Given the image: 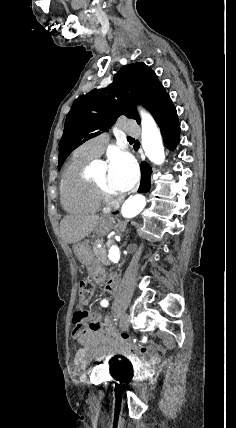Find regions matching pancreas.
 <instances>
[{"label":"pancreas","instance_id":"1","mask_svg":"<svg viewBox=\"0 0 236 428\" xmlns=\"http://www.w3.org/2000/svg\"><path fill=\"white\" fill-rule=\"evenodd\" d=\"M98 244H100V240L93 244V252L96 258H98L99 262H101V264H105V266H108L109 260L107 258V250H105L106 246H102V248H97Z\"/></svg>","mask_w":236,"mask_h":428}]
</instances>
